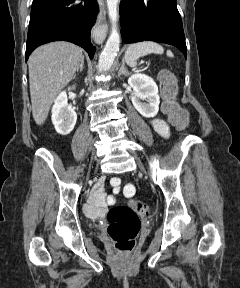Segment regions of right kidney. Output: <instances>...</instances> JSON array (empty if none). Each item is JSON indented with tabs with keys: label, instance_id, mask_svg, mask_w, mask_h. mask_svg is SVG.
I'll list each match as a JSON object with an SVG mask.
<instances>
[{
	"label": "right kidney",
	"instance_id": "obj_1",
	"mask_svg": "<svg viewBox=\"0 0 240 288\" xmlns=\"http://www.w3.org/2000/svg\"><path fill=\"white\" fill-rule=\"evenodd\" d=\"M76 121L77 114L68 104L66 91H63L57 96L52 107V122L55 130L61 135H68L74 129Z\"/></svg>",
	"mask_w": 240,
	"mask_h": 288
}]
</instances>
